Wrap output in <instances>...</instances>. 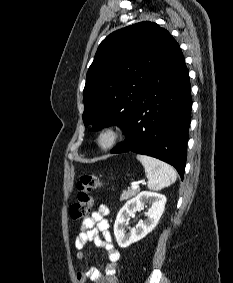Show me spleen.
Returning <instances> with one entry per match:
<instances>
[{
    "label": "spleen",
    "mask_w": 233,
    "mask_h": 283,
    "mask_svg": "<svg viewBox=\"0 0 233 283\" xmlns=\"http://www.w3.org/2000/svg\"><path fill=\"white\" fill-rule=\"evenodd\" d=\"M137 159L145 168V174L148 178V189L161 190L176 181V172L169 164L141 154L137 155Z\"/></svg>",
    "instance_id": "obj_1"
}]
</instances>
